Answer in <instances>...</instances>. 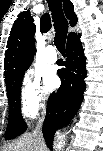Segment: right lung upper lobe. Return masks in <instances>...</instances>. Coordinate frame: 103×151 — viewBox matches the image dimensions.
<instances>
[{
	"label": "right lung upper lobe",
	"instance_id": "right-lung-upper-lobe-1",
	"mask_svg": "<svg viewBox=\"0 0 103 151\" xmlns=\"http://www.w3.org/2000/svg\"><path fill=\"white\" fill-rule=\"evenodd\" d=\"M66 17L70 25L77 23L73 5L68 0H62ZM50 18L44 15L40 20V31L46 32L50 29ZM36 26L30 16V11H23L18 15L10 32L4 59V75L6 87L10 86L29 68L35 54L34 33ZM76 33H69L68 37Z\"/></svg>",
	"mask_w": 103,
	"mask_h": 151
}]
</instances>
